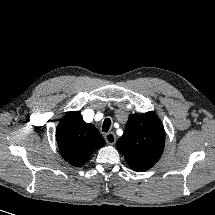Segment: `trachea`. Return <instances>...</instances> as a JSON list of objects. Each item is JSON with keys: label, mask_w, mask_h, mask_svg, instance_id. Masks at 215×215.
Listing matches in <instances>:
<instances>
[{"label": "trachea", "mask_w": 215, "mask_h": 215, "mask_svg": "<svg viewBox=\"0 0 215 215\" xmlns=\"http://www.w3.org/2000/svg\"><path fill=\"white\" fill-rule=\"evenodd\" d=\"M110 126H111V120L109 118H106L103 122L102 131L108 132V130L110 129Z\"/></svg>", "instance_id": "1"}]
</instances>
